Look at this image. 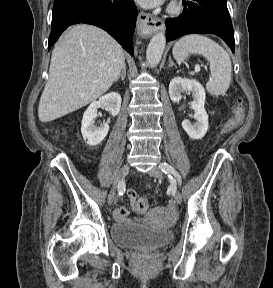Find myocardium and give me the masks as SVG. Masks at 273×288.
<instances>
[{"instance_id":"myocardium-1","label":"myocardium","mask_w":273,"mask_h":288,"mask_svg":"<svg viewBox=\"0 0 273 288\" xmlns=\"http://www.w3.org/2000/svg\"><path fill=\"white\" fill-rule=\"evenodd\" d=\"M183 7L182 4L179 2H174L171 6H170V13L172 14H179L182 11Z\"/></svg>"}]
</instances>
